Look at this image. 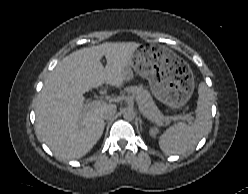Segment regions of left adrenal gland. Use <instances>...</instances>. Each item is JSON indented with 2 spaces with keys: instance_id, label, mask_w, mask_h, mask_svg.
Segmentation results:
<instances>
[{
  "instance_id": "obj_1",
  "label": "left adrenal gland",
  "mask_w": 248,
  "mask_h": 194,
  "mask_svg": "<svg viewBox=\"0 0 248 194\" xmlns=\"http://www.w3.org/2000/svg\"><path fill=\"white\" fill-rule=\"evenodd\" d=\"M139 122H140V125H141L142 124V120L140 119Z\"/></svg>"
}]
</instances>
